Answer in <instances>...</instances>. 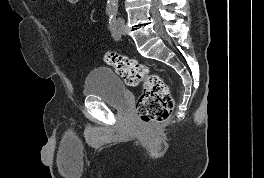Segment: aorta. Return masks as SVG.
I'll list each match as a JSON object with an SVG mask.
<instances>
[{
  "label": "aorta",
  "mask_w": 264,
  "mask_h": 178,
  "mask_svg": "<svg viewBox=\"0 0 264 178\" xmlns=\"http://www.w3.org/2000/svg\"><path fill=\"white\" fill-rule=\"evenodd\" d=\"M108 11H117L118 9V0H107V7Z\"/></svg>",
  "instance_id": "1"
}]
</instances>
